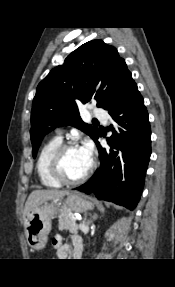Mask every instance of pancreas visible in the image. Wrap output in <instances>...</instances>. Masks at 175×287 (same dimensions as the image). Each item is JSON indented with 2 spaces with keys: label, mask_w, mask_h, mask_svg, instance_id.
Wrapping results in <instances>:
<instances>
[{
  "label": "pancreas",
  "mask_w": 175,
  "mask_h": 287,
  "mask_svg": "<svg viewBox=\"0 0 175 287\" xmlns=\"http://www.w3.org/2000/svg\"><path fill=\"white\" fill-rule=\"evenodd\" d=\"M59 230H69L72 234L78 233V225L73 214L68 209H62L58 215Z\"/></svg>",
  "instance_id": "obj_1"
}]
</instances>
